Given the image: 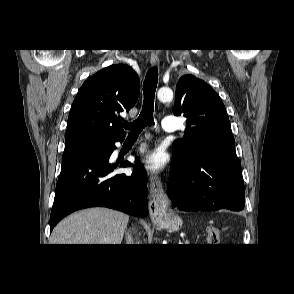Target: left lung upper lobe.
<instances>
[{"instance_id": "obj_1", "label": "left lung upper lobe", "mask_w": 294, "mask_h": 294, "mask_svg": "<svg viewBox=\"0 0 294 294\" xmlns=\"http://www.w3.org/2000/svg\"><path fill=\"white\" fill-rule=\"evenodd\" d=\"M184 115L185 136L176 140L172 153L181 159L196 155L237 158L229 117L219 95L203 80L182 76L176 85L174 115Z\"/></svg>"}]
</instances>
